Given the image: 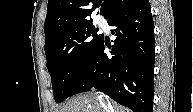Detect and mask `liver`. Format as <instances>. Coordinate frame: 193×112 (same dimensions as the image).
I'll list each match as a JSON object with an SVG mask.
<instances>
[{"instance_id":"6515ba94","label":"liver","mask_w":193,"mask_h":112,"mask_svg":"<svg viewBox=\"0 0 193 112\" xmlns=\"http://www.w3.org/2000/svg\"><path fill=\"white\" fill-rule=\"evenodd\" d=\"M57 112H129L120 105L102 101L98 93L81 94L60 105Z\"/></svg>"}]
</instances>
